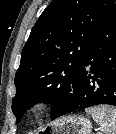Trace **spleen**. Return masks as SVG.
Here are the masks:
<instances>
[{
    "mask_svg": "<svg viewBox=\"0 0 116 134\" xmlns=\"http://www.w3.org/2000/svg\"><path fill=\"white\" fill-rule=\"evenodd\" d=\"M85 111L91 114L104 134H116V108L101 105L87 108Z\"/></svg>",
    "mask_w": 116,
    "mask_h": 134,
    "instance_id": "obj_1",
    "label": "spleen"
}]
</instances>
